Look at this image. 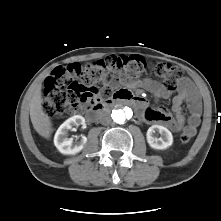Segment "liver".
I'll return each mask as SVG.
<instances>
[{
    "mask_svg": "<svg viewBox=\"0 0 221 221\" xmlns=\"http://www.w3.org/2000/svg\"><path fill=\"white\" fill-rule=\"evenodd\" d=\"M42 103L41 86L39 85L31 99L30 119L36 132L40 136L49 139L53 131L52 122L50 117L43 111Z\"/></svg>",
    "mask_w": 221,
    "mask_h": 221,
    "instance_id": "obj_1",
    "label": "liver"
}]
</instances>
